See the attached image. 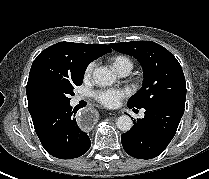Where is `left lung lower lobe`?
Segmentation results:
<instances>
[{"label": "left lung lower lobe", "instance_id": "1", "mask_svg": "<svg viewBox=\"0 0 209 179\" xmlns=\"http://www.w3.org/2000/svg\"><path fill=\"white\" fill-rule=\"evenodd\" d=\"M128 105V104H127ZM129 108L133 106L128 105ZM185 103H162L145 107V117L121 135L124 150L138 159L160 155L173 139L184 113Z\"/></svg>", "mask_w": 209, "mask_h": 179}]
</instances>
